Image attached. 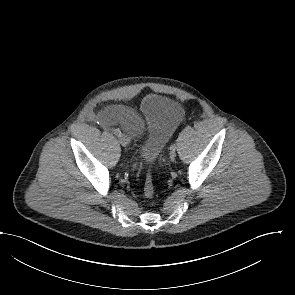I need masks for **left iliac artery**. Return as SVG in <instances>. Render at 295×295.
I'll return each instance as SVG.
<instances>
[{
  "mask_svg": "<svg viewBox=\"0 0 295 295\" xmlns=\"http://www.w3.org/2000/svg\"><path fill=\"white\" fill-rule=\"evenodd\" d=\"M170 150H176V145H175V144H172V145L170 146Z\"/></svg>",
  "mask_w": 295,
  "mask_h": 295,
  "instance_id": "obj_1",
  "label": "left iliac artery"
}]
</instances>
